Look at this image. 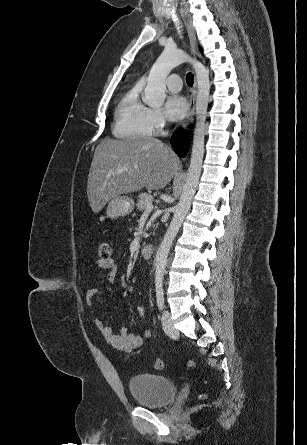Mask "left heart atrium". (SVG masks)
I'll return each mask as SVG.
<instances>
[{
    "label": "left heart atrium",
    "mask_w": 307,
    "mask_h": 445,
    "mask_svg": "<svg viewBox=\"0 0 307 445\" xmlns=\"http://www.w3.org/2000/svg\"><path fill=\"white\" fill-rule=\"evenodd\" d=\"M164 110L171 120H180L186 115L188 104L179 93L169 92L164 99Z\"/></svg>",
    "instance_id": "left-heart-atrium-1"
}]
</instances>
